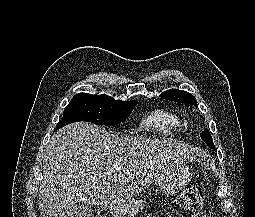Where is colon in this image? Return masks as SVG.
Listing matches in <instances>:
<instances>
[{"label":"colon","mask_w":255,"mask_h":217,"mask_svg":"<svg viewBox=\"0 0 255 217\" xmlns=\"http://www.w3.org/2000/svg\"><path fill=\"white\" fill-rule=\"evenodd\" d=\"M177 202L181 209L191 213L199 212L203 206V199L200 192L193 187L183 190L178 195Z\"/></svg>","instance_id":"5ec220e1"}]
</instances>
